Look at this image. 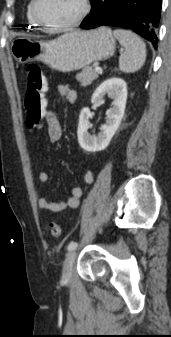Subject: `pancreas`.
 <instances>
[{
	"mask_svg": "<svg viewBox=\"0 0 171 337\" xmlns=\"http://www.w3.org/2000/svg\"><path fill=\"white\" fill-rule=\"evenodd\" d=\"M97 78L98 74L95 72L92 66H86L80 73L76 75V79L83 87L90 85Z\"/></svg>",
	"mask_w": 171,
	"mask_h": 337,
	"instance_id": "cf45deb5",
	"label": "pancreas"
}]
</instances>
